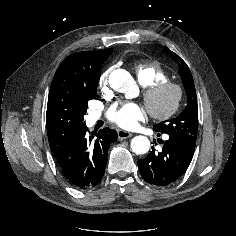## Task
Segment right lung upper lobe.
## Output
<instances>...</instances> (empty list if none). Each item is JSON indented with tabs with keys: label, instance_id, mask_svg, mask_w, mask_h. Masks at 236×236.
<instances>
[{
	"label": "right lung upper lobe",
	"instance_id": "right-lung-upper-lobe-1",
	"mask_svg": "<svg viewBox=\"0 0 236 236\" xmlns=\"http://www.w3.org/2000/svg\"><path fill=\"white\" fill-rule=\"evenodd\" d=\"M102 51L74 53L63 61L54 75L49 91L46 125L49 144L56 157L67 148L76 131L85 125L77 89L100 73L97 57Z\"/></svg>",
	"mask_w": 236,
	"mask_h": 236
}]
</instances>
